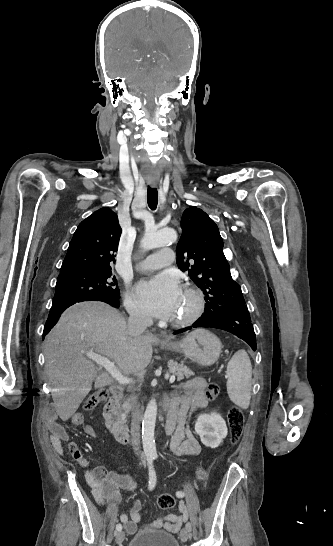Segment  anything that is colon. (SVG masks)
<instances>
[{
    "label": "colon",
    "instance_id": "1",
    "mask_svg": "<svg viewBox=\"0 0 333 546\" xmlns=\"http://www.w3.org/2000/svg\"><path fill=\"white\" fill-rule=\"evenodd\" d=\"M220 392V388L218 384L211 383L207 386L205 389V397L207 400H213L215 399ZM108 397V392L105 389H100L93 394H91L84 402V409L86 410H92L94 409L97 404L101 401L106 400ZM228 420V426L230 430V444L234 445L239 440L243 424H244V414L242 410L236 406H233L228 411L227 415ZM197 477L198 480L203 483L207 479V472L204 468L200 467L197 470ZM176 500L175 498L169 494L164 493L159 496L158 498V506L163 510L171 509L175 506Z\"/></svg>",
    "mask_w": 333,
    "mask_h": 546
}]
</instances>
